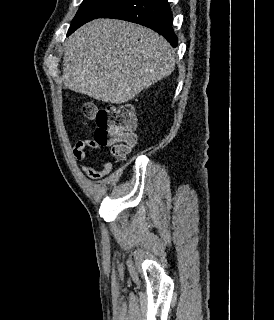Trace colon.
Here are the masks:
<instances>
[{"label":"colon","instance_id":"5ec220e1","mask_svg":"<svg viewBox=\"0 0 274 320\" xmlns=\"http://www.w3.org/2000/svg\"><path fill=\"white\" fill-rule=\"evenodd\" d=\"M85 119L96 124L92 143L100 149L111 145L112 153L117 160L127 156L136 143L135 129L137 118L133 107L124 105H105L95 107L92 104L81 106Z\"/></svg>","mask_w":274,"mask_h":320}]
</instances>
